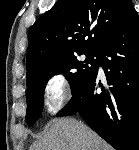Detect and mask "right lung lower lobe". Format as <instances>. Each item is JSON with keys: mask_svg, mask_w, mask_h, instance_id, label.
Wrapping results in <instances>:
<instances>
[{"mask_svg": "<svg viewBox=\"0 0 139 150\" xmlns=\"http://www.w3.org/2000/svg\"><path fill=\"white\" fill-rule=\"evenodd\" d=\"M99 66L104 69L106 88L98 77ZM72 94L57 116L79 114L116 150H139V17L135 9L98 50L95 71Z\"/></svg>", "mask_w": 139, "mask_h": 150, "instance_id": "right-lung-lower-lobe-1", "label": "right lung lower lobe"}]
</instances>
